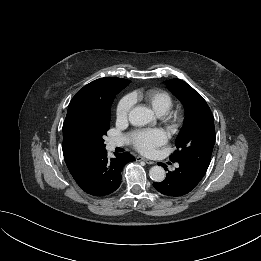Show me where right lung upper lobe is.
<instances>
[{
    "label": "right lung upper lobe",
    "instance_id": "1",
    "mask_svg": "<svg viewBox=\"0 0 261 261\" xmlns=\"http://www.w3.org/2000/svg\"><path fill=\"white\" fill-rule=\"evenodd\" d=\"M125 80L115 77L97 79L84 86L72 98L63 124V154L68 169L87 159L77 154L69 143V129L72 122L78 117L91 112L97 106L107 102L113 90Z\"/></svg>",
    "mask_w": 261,
    "mask_h": 261
}]
</instances>
